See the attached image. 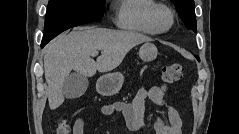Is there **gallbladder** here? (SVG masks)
Instances as JSON below:
<instances>
[{
	"label": "gallbladder",
	"instance_id": "1",
	"mask_svg": "<svg viewBox=\"0 0 239 134\" xmlns=\"http://www.w3.org/2000/svg\"><path fill=\"white\" fill-rule=\"evenodd\" d=\"M88 84L89 82L87 77L77 72L71 73L70 75H68L63 84V95L68 99L78 98L85 93Z\"/></svg>",
	"mask_w": 239,
	"mask_h": 134
}]
</instances>
